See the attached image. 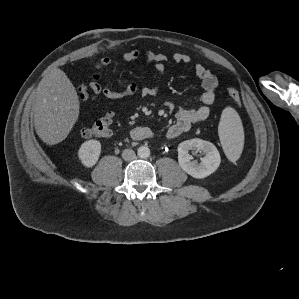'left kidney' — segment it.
<instances>
[{
  "label": "left kidney",
  "instance_id": "obj_1",
  "mask_svg": "<svg viewBox=\"0 0 299 299\" xmlns=\"http://www.w3.org/2000/svg\"><path fill=\"white\" fill-rule=\"evenodd\" d=\"M189 150L203 151L205 156L201 162L191 161L192 156ZM178 162L180 167L194 178L202 179L217 170L220 165L221 157L215 145L202 139L186 140L178 146Z\"/></svg>",
  "mask_w": 299,
  "mask_h": 299
}]
</instances>
